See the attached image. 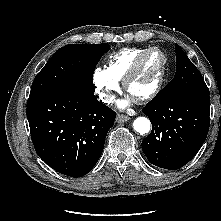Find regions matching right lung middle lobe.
<instances>
[{"instance_id": "right-lung-middle-lobe-1", "label": "right lung middle lobe", "mask_w": 221, "mask_h": 221, "mask_svg": "<svg viewBox=\"0 0 221 221\" xmlns=\"http://www.w3.org/2000/svg\"><path fill=\"white\" fill-rule=\"evenodd\" d=\"M109 45L70 44L60 48L35 77L30 96L64 90L95 91V66Z\"/></svg>"}]
</instances>
